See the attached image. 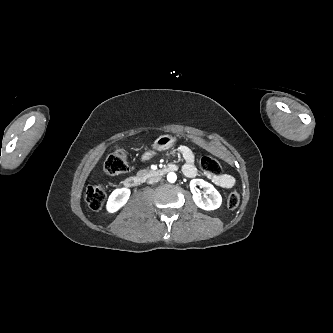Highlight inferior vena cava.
<instances>
[{"mask_svg": "<svg viewBox=\"0 0 333 333\" xmlns=\"http://www.w3.org/2000/svg\"><path fill=\"white\" fill-rule=\"evenodd\" d=\"M161 180V177L160 176H156V177H152V178H150L149 180H148V183L149 184H154V183H156V182H158V181H160Z\"/></svg>", "mask_w": 333, "mask_h": 333, "instance_id": "obj_1", "label": "inferior vena cava"}]
</instances>
